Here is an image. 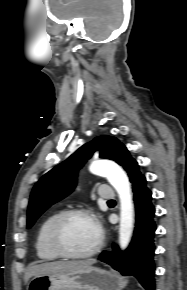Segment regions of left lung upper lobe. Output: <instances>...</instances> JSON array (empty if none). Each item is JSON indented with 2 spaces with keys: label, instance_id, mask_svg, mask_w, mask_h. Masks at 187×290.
Returning a JSON list of instances; mask_svg holds the SVG:
<instances>
[{
  "label": "left lung upper lobe",
  "instance_id": "5c2ea615",
  "mask_svg": "<svg viewBox=\"0 0 187 290\" xmlns=\"http://www.w3.org/2000/svg\"><path fill=\"white\" fill-rule=\"evenodd\" d=\"M99 150L101 158L111 159L121 165L133 183L140 175L139 166L127 148L115 137L98 136L81 146L72 156L47 172L34 186L29 206L27 228L51 205L66 197L76 186L77 171Z\"/></svg>",
  "mask_w": 187,
  "mask_h": 290
}]
</instances>
